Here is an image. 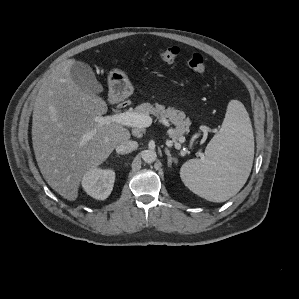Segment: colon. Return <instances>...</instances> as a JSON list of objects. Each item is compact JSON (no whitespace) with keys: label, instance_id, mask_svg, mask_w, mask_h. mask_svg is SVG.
Instances as JSON below:
<instances>
[{"label":"colon","instance_id":"obj_1","mask_svg":"<svg viewBox=\"0 0 299 299\" xmlns=\"http://www.w3.org/2000/svg\"><path fill=\"white\" fill-rule=\"evenodd\" d=\"M180 54V50L176 46L162 47L158 49V56L167 63L176 61ZM188 66L197 73H204L207 69L205 59L200 54H193L187 60Z\"/></svg>","mask_w":299,"mask_h":299}]
</instances>
